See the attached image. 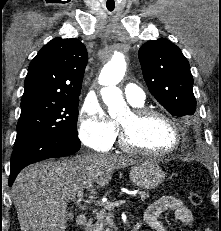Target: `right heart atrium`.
Masks as SVG:
<instances>
[{"label":"right heart atrium","instance_id":"right-heart-atrium-1","mask_svg":"<svg viewBox=\"0 0 221 231\" xmlns=\"http://www.w3.org/2000/svg\"><path fill=\"white\" fill-rule=\"evenodd\" d=\"M78 132L84 145L93 150L104 151L115 141L117 127L98 101L86 98L79 114Z\"/></svg>","mask_w":221,"mask_h":231}]
</instances>
